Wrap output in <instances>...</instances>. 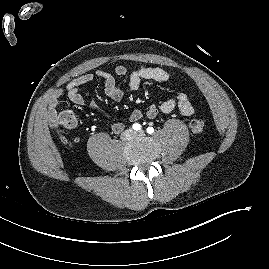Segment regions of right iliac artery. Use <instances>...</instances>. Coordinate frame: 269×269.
Here are the masks:
<instances>
[{"instance_id": "1", "label": "right iliac artery", "mask_w": 269, "mask_h": 269, "mask_svg": "<svg viewBox=\"0 0 269 269\" xmlns=\"http://www.w3.org/2000/svg\"><path fill=\"white\" fill-rule=\"evenodd\" d=\"M132 128H133L134 130H136V131H139V130H141V125L138 124V123H135V124H133Z\"/></svg>"}]
</instances>
